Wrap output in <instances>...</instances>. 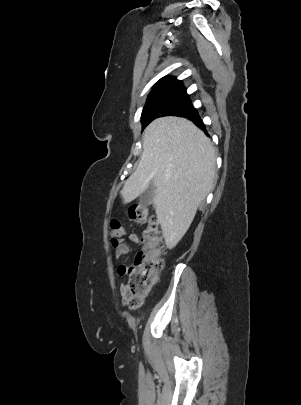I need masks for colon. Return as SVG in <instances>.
Listing matches in <instances>:
<instances>
[{
	"mask_svg": "<svg viewBox=\"0 0 301 405\" xmlns=\"http://www.w3.org/2000/svg\"><path fill=\"white\" fill-rule=\"evenodd\" d=\"M128 215L130 220L137 224L147 222L141 239L143 246L129 269V280L126 285L128 292L126 302L130 308L135 309L156 283L163 269L164 242L158 219L155 216H149L147 207L134 205L129 209ZM111 233L113 245L125 234V229L119 221L114 220L111 222Z\"/></svg>",
	"mask_w": 301,
	"mask_h": 405,
	"instance_id": "1",
	"label": "colon"
}]
</instances>
